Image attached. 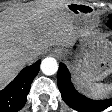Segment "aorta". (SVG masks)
<instances>
[{"label":"aorta","instance_id":"1","mask_svg":"<svg viewBox=\"0 0 112 112\" xmlns=\"http://www.w3.org/2000/svg\"><path fill=\"white\" fill-rule=\"evenodd\" d=\"M40 68L45 75H54L58 71V63L56 59L47 57L42 60Z\"/></svg>","mask_w":112,"mask_h":112}]
</instances>
